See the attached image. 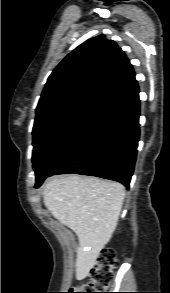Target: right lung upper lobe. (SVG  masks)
Listing matches in <instances>:
<instances>
[{"label": "right lung upper lobe", "mask_w": 170, "mask_h": 293, "mask_svg": "<svg viewBox=\"0 0 170 293\" xmlns=\"http://www.w3.org/2000/svg\"><path fill=\"white\" fill-rule=\"evenodd\" d=\"M137 90L124 52L99 35L78 46L53 70L36 108L35 124L78 104L108 107Z\"/></svg>", "instance_id": "right-lung-upper-lobe-1"}]
</instances>
